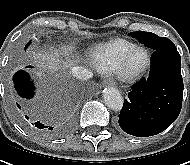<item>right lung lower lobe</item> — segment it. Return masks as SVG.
Masks as SVG:
<instances>
[{"label": "right lung lower lobe", "mask_w": 190, "mask_h": 165, "mask_svg": "<svg viewBox=\"0 0 190 165\" xmlns=\"http://www.w3.org/2000/svg\"><path fill=\"white\" fill-rule=\"evenodd\" d=\"M26 68H32L27 66ZM14 89L17 96V99L21 98L24 100L31 99L35 94V88L30 81L28 73L23 70L18 71L13 76ZM14 109L19 120L26 126L32 127L35 130L41 131L46 135L58 136L65 133L68 129V125L63 126H50L40 122L37 117L36 110L30 108V102H23L19 100L18 103H14Z\"/></svg>", "instance_id": "obj_1"}]
</instances>
